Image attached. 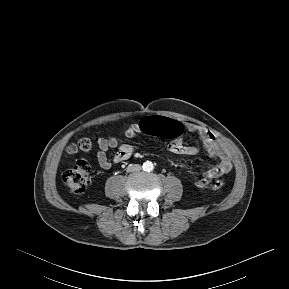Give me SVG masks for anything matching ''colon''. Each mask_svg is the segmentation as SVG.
I'll use <instances>...</instances> for the list:
<instances>
[{
  "label": "colon",
  "mask_w": 289,
  "mask_h": 289,
  "mask_svg": "<svg viewBox=\"0 0 289 289\" xmlns=\"http://www.w3.org/2000/svg\"><path fill=\"white\" fill-rule=\"evenodd\" d=\"M139 130L143 134H150L157 137H175L182 132V126L178 119L152 114L143 117L139 122ZM94 147L93 140L81 138L70 144L67 148L69 153L84 155ZM90 175V166L84 159H79L76 164L68 169L63 175V182L68 189L75 194L85 192ZM225 184L224 180H217L213 189L218 190Z\"/></svg>",
  "instance_id": "1"
}]
</instances>
